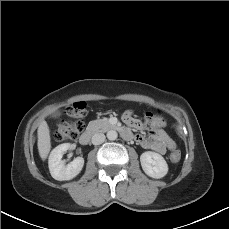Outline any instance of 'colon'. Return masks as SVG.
<instances>
[{
    "mask_svg": "<svg viewBox=\"0 0 229 229\" xmlns=\"http://www.w3.org/2000/svg\"><path fill=\"white\" fill-rule=\"evenodd\" d=\"M66 112L69 119L59 120L53 132V139L57 142L75 139L84 128V119L87 113L84 102L74 103L67 108ZM145 124L150 129L154 127L153 121L150 118L146 119ZM170 149V160L173 163H178L181 159V152L176 149L175 145H172Z\"/></svg>",
    "mask_w": 229,
    "mask_h": 229,
    "instance_id": "colon-1",
    "label": "colon"
}]
</instances>
